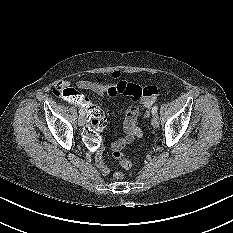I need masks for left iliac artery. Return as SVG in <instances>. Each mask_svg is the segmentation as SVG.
I'll return each instance as SVG.
<instances>
[{
	"instance_id": "obj_1",
	"label": "left iliac artery",
	"mask_w": 233,
	"mask_h": 233,
	"mask_svg": "<svg viewBox=\"0 0 233 233\" xmlns=\"http://www.w3.org/2000/svg\"><path fill=\"white\" fill-rule=\"evenodd\" d=\"M157 110H158V107H157V106H154V107L152 108V113H153V114H156V113H157Z\"/></svg>"
}]
</instances>
